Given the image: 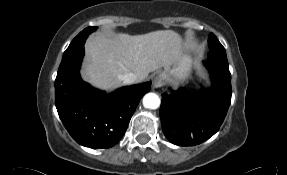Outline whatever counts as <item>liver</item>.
I'll return each instance as SVG.
<instances>
[{
    "mask_svg": "<svg viewBox=\"0 0 287 175\" xmlns=\"http://www.w3.org/2000/svg\"><path fill=\"white\" fill-rule=\"evenodd\" d=\"M182 38L173 30L142 35L97 34L86 42L82 77L93 86L113 90L122 85V76L134 73L144 81L149 73L169 68L180 58Z\"/></svg>",
    "mask_w": 287,
    "mask_h": 175,
    "instance_id": "1",
    "label": "liver"
}]
</instances>
